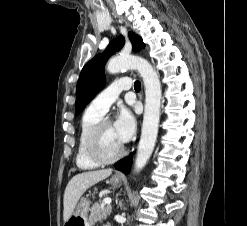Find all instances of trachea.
<instances>
[{"mask_svg":"<svg viewBox=\"0 0 247 226\" xmlns=\"http://www.w3.org/2000/svg\"><path fill=\"white\" fill-rule=\"evenodd\" d=\"M140 88H141V83H140V81H135V83H134V89H135L136 91H140Z\"/></svg>","mask_w":247,"mask_h":226,"instance_id":"1","label":"trachea"}]
</instances>
